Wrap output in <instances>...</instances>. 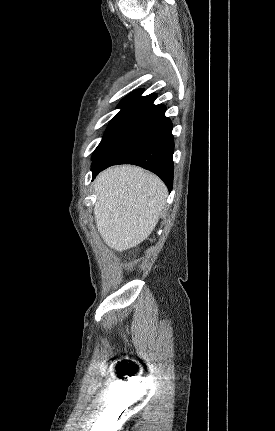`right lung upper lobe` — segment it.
I'll use <instances>...</instances> for the list:
<instances>
[{"label":"right lung upper lobe","instance_id":"cb5924a9","mask_svg":"<svg viewBox=\"0 0 275 431\" xmlns=\"http://www.w3.org/2000/svg\"><path fill=\"white\" fill-rule=\"evenodd\" d=\"M144 90L139 89L126 96L117 106L120 112H130L136 114L138 111L149 106L156 99V94L141 96Z\"/></svg>","mask_w":275,"mask_h":431}]
</instances>
